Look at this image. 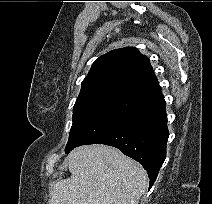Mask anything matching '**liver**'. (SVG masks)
I'll use <instances>...</instances> for the list:
<instances>
[{
	"label": "liver",
	"mask_w": 212,
	"mask_h": 204,
	"mask_svg": "<svg viewBox=\"0 0 212 204\" xmlns=\"http://www.w3.org/2000/svg\"><path fill=\"white\" fill-rule=\"evenodd\" d=\"M67 162L71 177L54 183L49 204H138L148 186L144 168L114 147L84 145Z\"/></svg>",
	"instance_id": "obj_1"
}]
</instances>
